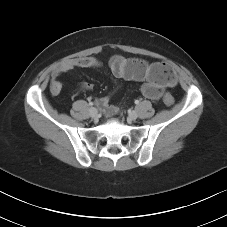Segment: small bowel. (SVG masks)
Returning a JSON list of instances; mask_svg holds the SVG:
<instances>
[{"label":"small bowel","mask_w":227,"mask_h":227,"mask_svg":"<svg viewBox=\"0 0 227 227\" xmlns=\"http://www.w3.org/2000/svg\"><path fill=\"white\" fill-rule=\"evenodd\" d=\"M102 63L95 57L84 56L70 59L61 64L52 72L50 90L53 95L59 94L62 84L60 76L75 68H99ZM109 70L116 80H128L141 83L140 91L148 99L159 100L163 90L173 85L161 79L151 64L141 59L126 58L121 55L113 56L108 64ZM82 90L91 89V84L83 83ZM98 105L108 114H114L117 108L109 105V97H102L97 101Z\"/></svg>","instance_id":"c3829d8e"}]
</instances>
